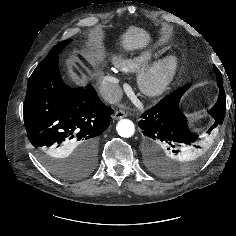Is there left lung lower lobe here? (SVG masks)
Wrapping results in <instances>:
<instances>
[{
  "label": "left lung lower lobe",
  "instance_id": "0a47b994",
  "mask_svg": "<svg viewBox=\"0 0 236 236\" xmlns=\"http://www.w3.org/2000/svg\"><path fill=\"white\" fill-rule=\"evenodd\" d=\"M214 72L220 91L217 103L209 111L215 118L209 132L223 123L226 111L222 76L216 67ZM189 87L190 84L180 87L141 116L139 127L145 137L146 161L153 169L166 171L168 159L185 161L199 154L198 135L190 131L187 119L179 109V100Z\"/></svg>",
  "mask_w": 236,
  "mask_h": 236
}]
</instances>
